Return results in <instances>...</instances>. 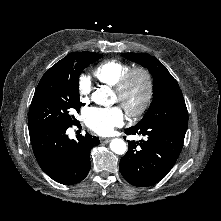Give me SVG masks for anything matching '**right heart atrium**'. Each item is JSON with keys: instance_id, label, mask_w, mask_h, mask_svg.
Instances as JSON below:
<instances>
[{"instance_id": "right-heart-atrium-1", "label": "right heart atrium", "mask_w": 221, "mask_h": 221, "mask_svg": "<svg viewBox=\"0 0 221 221\" xmlns=\"http://www.w3.org/2000/svg\"><path fill=\"white\" fill-rule=\"evenodd\" d=\"M92 91V83L89 77L81 76L78 81V93L82 102H89Z\"/></svg>"}]
</instances>
